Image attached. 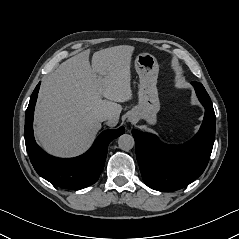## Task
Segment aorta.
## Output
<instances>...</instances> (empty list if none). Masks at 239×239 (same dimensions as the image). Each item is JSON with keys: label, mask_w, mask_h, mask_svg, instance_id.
<instances>
[{"label": "aorta", "mask_w": 239, "mask_h": 239, "mask_svg": "<svg viewBox=\"0 0 239 239\" xmlns=\"http://www.w3.org/2000/svg\"><path fill=\"white\" fill-rule=\"evenodd\" d=\"M135 145V141L132 135L123 134L118 138V146L121 150H131Z\"/></svg>", "instance_id": "762f6f07"}]
</instances>
